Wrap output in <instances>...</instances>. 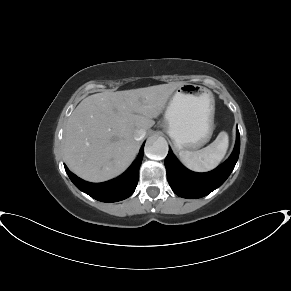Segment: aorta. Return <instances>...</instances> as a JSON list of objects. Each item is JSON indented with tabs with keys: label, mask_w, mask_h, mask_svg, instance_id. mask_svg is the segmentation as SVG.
<instances>
[{
	"label": "aorta",
	"mask_w": 291,
	"mask_h": 291,
	"mask_svg": "<svg viewBox=\"0 0 291 291\" xmlns=\"http://www.w3.org/2000/svg\"><path fill=\"white\" fill-rule=\"evenodd\" d=\"M145 153L150 159H164L168 154V143L163 137L150 138L146 142Z\"/></svg>",
	"instance_id": "762f6f07"
}]
</instances>
